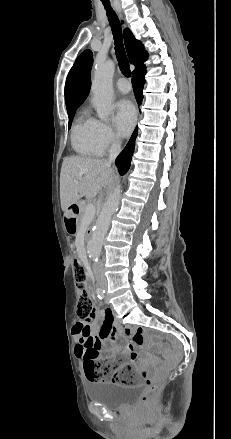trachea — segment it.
Returning <instances> with one entry per match:
<instances>
[{"label": "trachea", "instance_id": "obj_1", "mask_svg": "<svg viewBox=\"0 0 231 439\" xmlns=\"http://www.w3.org/2000/svg\"><path fill=\"white\" fill-rule=\"evenodd\" d=\"M103 5L107 12L108 21L114 36L115 54L118 61V65L120 67L122 74L125 75L126 77H130L131 71L129 67V61L127 59L123 46L122 29H121L120 21L114 10L111 8L109 2H103Z\"/></svg>", "mask_w": 231, "mask_h": 439}]
</instances>
